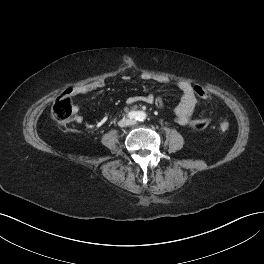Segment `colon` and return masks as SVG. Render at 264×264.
I'll use <instances>...</instances> for the list:
<instances>
[{
  "label": "colon",
  "mask_w": 264,
  "mask_h": 264,
  "mask_svg": "<svg viewBox=\"0 0 264 264\" xmlns=\"http://www.w3.org/2000/svg\"><path fill=\"white\" fill-rule=\"evenodd\" d=\"M193 91L202 99H207L209 97V92L200 85H194ZM52 115L59 123H67L73 120L75 116L74 107L71 98L67 93L62 94L56 99L52 108ZM189 124L195 130H203L209 126L210 121L208 119H192L189 121ZM229 126L230 125L227 121H222L219 124L222 131H227Z\"/></svg>",
  "instance_id": "5ec220e1"
}]
</instances>
